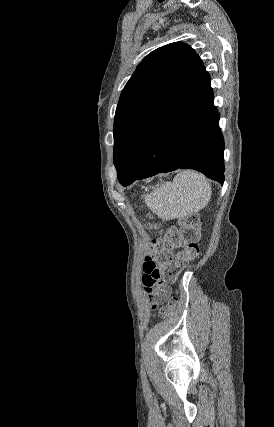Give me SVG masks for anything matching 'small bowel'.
<instances>
[{
    "label": "small bowel",
    "mask_w": 274,
    "mask_h": 427,
    "mask_svg": "<svg viewBox=\"0 0 274 427\" xmlns=\"http://www.w3.org/2000/svg\"><path fill=\"white\" fill-rule=\"evenodd\" d=\"M175 254L176 251L162 250L163 256L173 257ZM153 255L159 256L160 250L154 249ZM150 261H152V257L147 255L144 259V264L141 266V271L143 272L142 283L147 299L151 301L153 298H156V301L151 303V308H155L160 302L166 299L169 293L166 284H173L174 278L179 276L178 270L182 268V263L180 261H167L165 263L166 269H161L160 264H146ZM149 273H155L157 278L153 277L150 279Z\"/></svg>",
    "instance_id": "small-bowel-1"
}]
</instances>
